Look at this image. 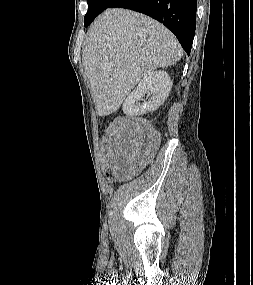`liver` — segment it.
<instances>
[{
    "label": "liver",
    "instance_id": "1",
    "mask_svg": "<svg viewBox=\"0 0 253 285\" xmlns=\"http://www.w3.org/2000/svg\"><path fill=\"white\" fill-rule=\"evenodd\" d=\"M82 63L96 112L117 111L149 72L182 57L175 36L158 21L127 9H108L91 24Z\"/></svg>",
    "mask_w": 253,
    "mask_h": 285
}]
</instances>
